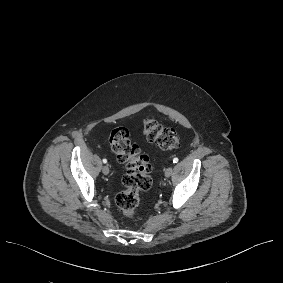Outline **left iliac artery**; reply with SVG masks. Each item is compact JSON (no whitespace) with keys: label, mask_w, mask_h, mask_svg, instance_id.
Masks as SVG:
<instances>
[{"label":"left iliac artery","mask_w":283,"mask_h":283,"mask_svg":"<svg viewBox=\"0 0 283 283\" xmlns=\"http://www.w3.org/2000/svg\"><path fill=\"white\" fill-rule=\"evenodd\" d=\"M177 162H178V158H174L173 163H177Z\"/></svg>","instance_id":"left-iliac-artery-1"}]
</instances>
